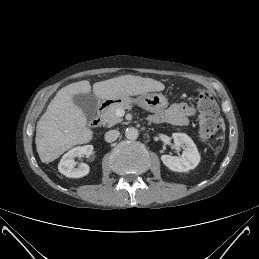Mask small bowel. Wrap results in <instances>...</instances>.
<instances>
[{
	"instance_id": "1",
	"label": "small bowel",
	"mask_w": 259,
	"mask_h": 259,
	"mask_svg": "<svg viewBox=\"0 0 259 259\" xmlns=\"http://www.w3.org/2000/svg\"><path fill=\"white\" fill-rule=\"evenodd\" d=\"M200 107V106H199ZM200 111L202 112L201 108ZM196 109L185 102L171 105L163 112L151 116L155 123H170L176 126H185L196 115Z\"/></svg>"
}]
</instances>
